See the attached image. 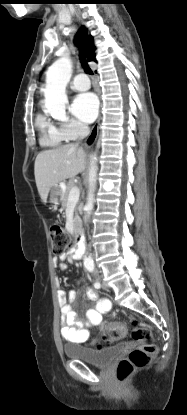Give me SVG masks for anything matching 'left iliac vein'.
<instances>
[{
	"label": "left iliac vein",
	"instance_id": "left-iliac-vein-1",
	"mask_svg": "<svg viewBox=\"0 0 187 415\" xmlns=\"http://www.w3.org/2000/svg\"><path fill=\"white\" fill-rule=\"evenodd\" d=\"M99 279H100V281H102L101 276L99 277ZM101 285H102V288H103V289H105V290H106V289H108L107 284H106V283H104L103 281H102Z\"/></svg>",
	"mask_w": 187,
	"mask_h": 415
}]
</instances>
